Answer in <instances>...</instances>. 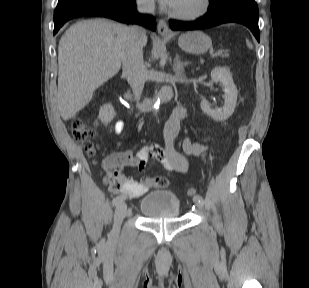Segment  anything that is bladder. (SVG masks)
<instances>
[{
    "label": "bladder",
    "mask_w": 309,
    "mask_h": 288,
    "mask_svg": "<svg viewBox=\"0 0 309 288\" xmlns=\"http://www.w3.org/2000/svg\"><path fill=\"white\" fill-rule=\"evenodd\" d=\"M180 199L172 191L155 190L144 194L139 209L146 218H175L180 212Z\"/></svg>",
    "instance_id": "31cf9c89"
}]
</instances>
